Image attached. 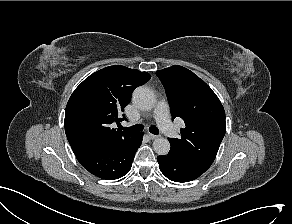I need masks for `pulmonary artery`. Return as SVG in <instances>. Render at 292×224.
Here are the masks:
<instances>
[{
	"mask_svg": "<svg viewBox=\"0 0 292 224\" xmlns=\"http://www.w3.org/2000/svg\"><path fill=\"white\" fill-rule=\"evenodd\" d=\"M154 117L161 130L170 138H176L177 128L171 123L169 107L165 101H160L155 107Z\"/></svg>",
	"mask_w": 292,
	"mask_h": 224,
	"instance_id": "e3ab8cb5",
	"label": "pulmonary artery"
}]
</instances>
